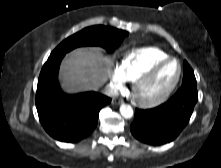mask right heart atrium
<instances>
[{"label":"right heart atrium","instance_id":"right-heart-atrium-1","mask_svg":"<svg viewBox=\"0 0 221 168\" xmlns=\"http://www.w3.org/2000/svg\"><path fill=\"white\" fill-rule=\"evenodd\" d=\"M125 84V79L121 75L118 68H115L112 71L110 76L109 86L113 93H117L118 91L122 90Z\"/></svg>","mask_w":221,"mask_h":168}]
</instances>
